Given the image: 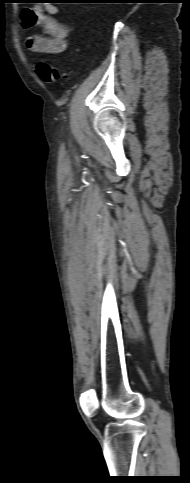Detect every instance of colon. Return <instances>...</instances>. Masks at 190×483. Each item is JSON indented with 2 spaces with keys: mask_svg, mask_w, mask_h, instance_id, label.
<instances>
[{
  "mask_svg": "<svg viewBox=\"0 0 190 483\" xmlns=\"http://www.w3.org/2000/svg\"><path fill=\"white\" fill-rule=\"evenodd\" d=\"M37 75L48 84L56 85L66 76V73L47 62H38L35 66Z\"/></svg>",
  "mask_w": 190,
  "mask_h": 483,
  "instance_id": "obj_1",
  "label": "colon"
}]
</instances>
